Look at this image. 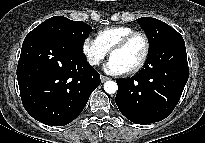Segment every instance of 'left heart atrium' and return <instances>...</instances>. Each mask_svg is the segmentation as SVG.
Instances as JSON below:
<instances>
[{"instance_id": "left-heart-atrium-1", "label": "left heart atrium", "mask_w": 205, "mask_h": 143, "mask_svg": "<svg viewBox=\"0 0 205 143\" xmlns=\"http://www.w3.org/2000/svg\"><path fill=\"white\" fill-rule=\"evenodd\" d=\"M104 70L113 75H121L127 71L117 60L112 57L105 64Z\"/></svg>"}]
</instances>
